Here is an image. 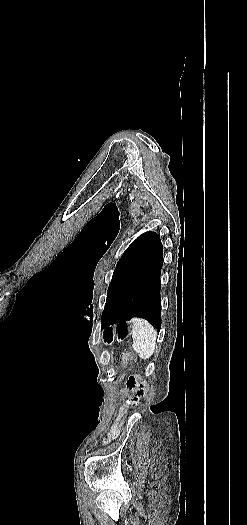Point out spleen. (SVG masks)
<instances>
[{
  "label": "spleen",
  "instance_id": "1",
  "mask_svg": "<svg viewBox=\"0 0 247 525\" xmlns=\"http://www.w3.org/2000/svg\"><path fill=\"white\" fill-rule=\"evenodd\" d=\"M132 323V347L138 353L140 359H150L156 347L157 333L144 319H131Z\"/></svg>",
  "mask_w": 247,
  "mask_h": 525
}]
</instances>
